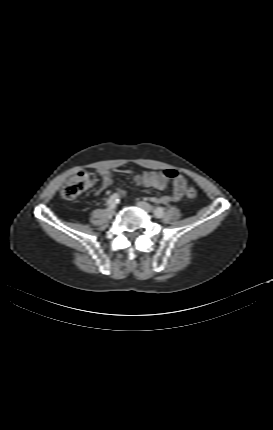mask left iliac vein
Masks as SVG:
<instances>
[{"label":"left iliac vein","mask_w":273,"mask_h":430,"mask_svg":"<svg viewBox=\"0 0 273 430\" xmlns=\"http://www.w3.org/2000/svg\"><path fill=\"white\" fill-rule=\"evenodd\" d=\"M136 205L140 209L144 210L147 213H151L152 212V207L148 203H146V202L139 201V202L136 203Z\"/></svg>","instance_id":"obj_1"}]
</instances>
